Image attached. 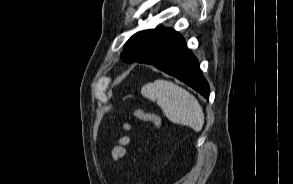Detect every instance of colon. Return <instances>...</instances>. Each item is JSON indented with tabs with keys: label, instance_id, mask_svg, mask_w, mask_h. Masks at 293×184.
Segmentation results:
<instances>
[{
	"label": "colon",
	"instance_id": "5ec220e1",
	"mask_svg": "<svg viewBox=\"0 0 293 184\" xmlns=\"http://www.w3.org/2000/svg\"><path fill=\"white\" fill-rule=\"evenodd\" d=\"M132 114L134 115V117L141 121L153 123L156 129H159L161 127V119L156 114L147 113L140 109H133Z\"/></svg>",
	"mask_w": 293,
	"mask_h": 184
}]
</instances>
